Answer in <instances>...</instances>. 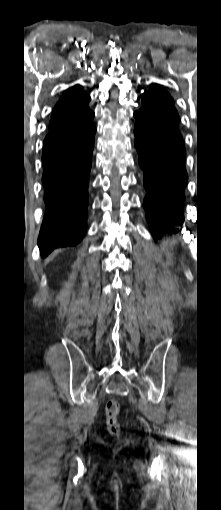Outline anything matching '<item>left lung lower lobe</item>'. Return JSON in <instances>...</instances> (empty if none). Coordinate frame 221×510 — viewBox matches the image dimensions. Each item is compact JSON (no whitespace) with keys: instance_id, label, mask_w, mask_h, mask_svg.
<instances>
[{"instance_id":"0a47b994","label":"left lung lower lobe","mask_w":221,"mask_h":510,"mask_svg":"<svg viewBox=\"0 0 221 510\" xmlns=\"http://www.w3.org/2000/svg\"><path fill=\"white\" fill-rule=\"evenodd\" d=\"M135 147L147 192L144 208L154 239L177 233L184 222L182 200L187 181L185 149L180 136L165 131L140 111L134 112Z\"/></svg>"}]
</instances>
